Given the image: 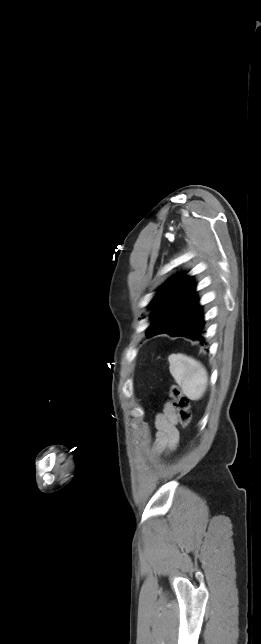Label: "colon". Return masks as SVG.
I'll list each match as a JSON object with an SVG mask.
<instances>
[{
  "mask_svg": "<svg viewBox=\"0 0 261 644\" xmlns=\"http://www.w3.org/2000/svg\"><path fill=\"white\" fill-rule=\"evenodd\" d=\"M170 395L173 399V407L178 421L183 428H186L192 419L190 400L177 385L171 386Z\"/></svg>",
  "mask_w": 261,
  "mask_h": 644,
  "instance_id": "1",
  "label": "colon"
}]
</instances>
